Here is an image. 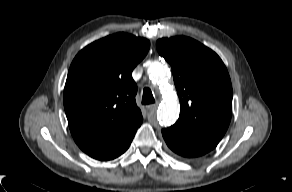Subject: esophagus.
I'll return each mask as SVG.
<instances>
[{
    "label": "esophagus",
    "instance_id": "obj_1",
    "mask_svg": "<svg viewBox=\"0 0 292 192\" xmlns=\"http://www.w3.org/2000/svg\"><path fill=\"white\" fill-rule=\"evenodd\" d=\"M157 106H158V103L150 104V105L147 106V109L149 111H154V110H156Z\"/></svg>",
    "mask_w": 292,
    "mask_h": 192
}]
</instances>
